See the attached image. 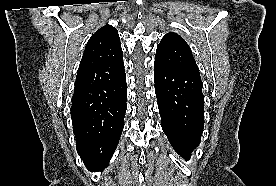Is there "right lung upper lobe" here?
Wrapping results in <instances>:
<instances>
[{
  "mask_svg": "<svg viewBox=\"0 0 276 186\" xmlns=\"http://www.w3.org/2000/svg\"><path fill=\"white\" fill-rule=\"evenodd\" d=\"M123 74L124 62L116 28L105 25L86 44L76 76L75 89L117 80Z\"/></svg>",
  "mask_w": 276,
  "mask_h": 186,
  "instance_id": "right-lung-upper-lobe-1",
  "label": "right lung upper lobe"
}]
</instances>
